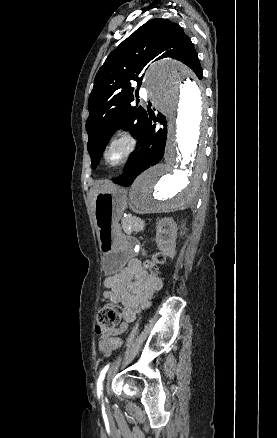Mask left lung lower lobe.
<instances>
[{
  "mask_svg": "<svg viewBox=\"0 0 277 438\" xmlns=\"http://www.w3.org/2000/svg\"><path fill=\"white\" fill-rule=\"evenodd\" d=\"M157 121L164 127L160 129L156 128V124L153 122ZM166 139L167 127L165 117L159 113L156 118L149 113L148 131L141 140L143 148L140 154L114 182L123 186H130L140 173L150 166L156 165L163 158Z\"/></svg>",
  "mask_w": 277,
  "mask_h": 438,
  "instance_id": "left-lung-lower-lobe-1",
  "label": "left lung lower lobe"
}]
</instances>
